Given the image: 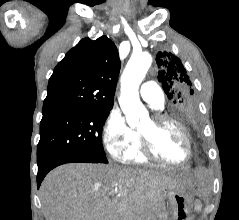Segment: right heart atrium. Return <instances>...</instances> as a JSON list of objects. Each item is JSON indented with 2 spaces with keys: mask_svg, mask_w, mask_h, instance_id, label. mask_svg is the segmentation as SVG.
<instances>
[{
  "mask_svg": "<svg viewBox=\"0 0 239 220\" xmlns=\"http://www.w3.org/2000/svg\"><path fill=\"white\" fill-rule=\"evenodd\" d=\"M102 138L106 150L114 159H122L125 152L139 142L137 132L126 123L118 108L109 111L102 128Z\"/></svg>",
  "mask_w": 239,
  "mask_h": 220,
  "instance_id": "d8ad5b80",
  "label": "right heart atrium"
}]
</instances>
